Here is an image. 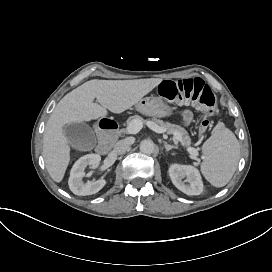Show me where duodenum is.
<instances>
[{
    "label": "duodenum",
    "instance_id": "410a0bca",
    "mask_svg": "<svg viewBox=\"0 0 272 272\" xmlns=\"http://www.w3.org/2000/svg\"><path fill=\"white\" fill-rule=\"evenodd\" d=\"M99 144L97 151L107 153L118 136V124L111 119H102L98 127Z\"/></svg>",
    "mask_w": 272,
    "mask_h": 272
}]
</instances>
